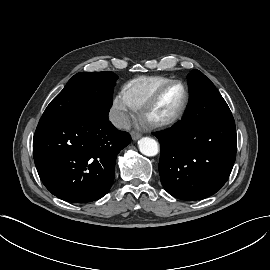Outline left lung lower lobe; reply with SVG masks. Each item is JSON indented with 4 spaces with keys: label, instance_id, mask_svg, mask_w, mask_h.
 <instances>
[{
    "label": "left lung lower lobe",
    "instance_id": "obj_1",
    "mask_svg": "<svg viewBox=\"0 0 270 270\" xmlns=\"http://www.w3.org/2000/svg\"><path fill=\"white\" fill-rule=\"evenodd\" d=\"M155 135L161 144L160 179L169 194L192 201L223 187L236 158L234 119L202 121L189 104L180 123Z\"/></svg>",
    "mask_w": 270,
    "mask_h": 270
}]
</instances>
